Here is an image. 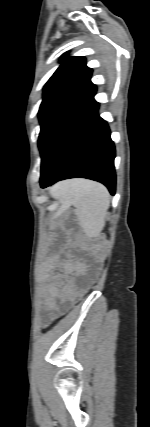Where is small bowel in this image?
I'll use <instances>...</instances> for the list:
<instances>
[{
	"mask_svg": "<svg viewBox=\"0 0 150 427\" xmlns=\"http://www.w3.org/2000/svg\"><path fill=\"white\" fill-rule=\"evenodd\" d=\"M65 269L69 270L70 266H65ZM63 284L64 277L53 274L50 267L44 268L42 287L44 311L41 319L45 325L68 309L69 304L77 297L86 282L83 281L79 285L69 283L64 289H60Z\"/></svg>",
	"mask_w": 150,
	"mask_h": 427,
	"instance_id": "obj_1",
	"label": "small bowel"
}]
</instances>
